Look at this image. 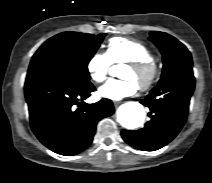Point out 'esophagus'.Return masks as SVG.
<instances>
[{
    "label": "esophagus",
    "mask_w": 212,
    "mask_h": 183,
    "mask_svg": "<svg viewBox=\"0 0 212 183\" xmlns=\"http://www.w3.org/2000/svg\"><path fill=\"white\" fill-rule=\"evenodd\" d=\"M113 104H114L115 107H117L118 105L121 104V102L120 101H114Z\"/></svg>",
    "instance_id": "esophagus-1"
}]
</instances>
